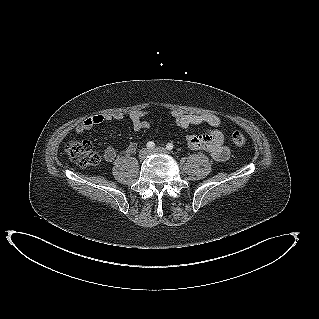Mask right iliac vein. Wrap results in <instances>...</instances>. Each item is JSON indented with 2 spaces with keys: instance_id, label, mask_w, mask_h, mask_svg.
Here are the masks:
<instances>
[{
  "instance_id": "right-iliac-vein-1",
  "label": "right iliac vein",
  "mask_w": 319,
  "mask_h": 319,
  "mask_svg": "<svg viewBox=\"0 0 319 319\" xmlns=\"http://www.w3.org/2000/svg\"><path fill=\"white\" fill-rule=\"evenodd\" d=\"M150 154V150L148 148H143L142 150L139 151V158L140 159H145L148 155Z\"/></svg>"
}]
</instances>
